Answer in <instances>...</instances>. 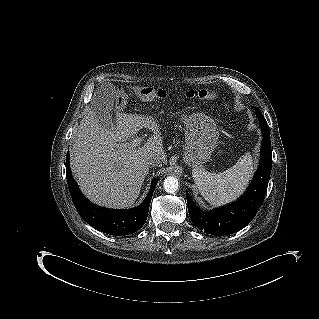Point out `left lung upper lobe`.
Masks as SVG:
<instances>
[{"label": "left lung upper lobe", "instance_id": "left-lung-upper-lobe-1", "mask_svg": "<svg viewBox=\"0 0 319 319\" xmlns=\"http://www.w3.org/2000/svg\"><path fill=\"white\" fill-rule=\"evenodd\" d=\"M256 116L263 117L261 111L258 108L256 109Z\"/></svg>", "mask_w": 319, "mask_h": 319}]
</instances>
